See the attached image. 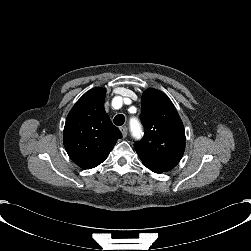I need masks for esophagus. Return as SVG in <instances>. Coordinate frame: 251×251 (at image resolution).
Listing matches in <instances>:
<instances>
[{"label": "esophagus", "instance_id": "esophagus-1", "mask_svg": "<svg viewBox=\"0 0 251 251\" xmlns=\"http://www.w3.org/2000/svg\"><path fill=\"white\" fill-rule=\"evenodd\" d=\"M120 131L122 133L123 138H126L127 137V133H128L127 127L126 126L120 127Z\"/></svg>", "mask_w": 251, "mask_h": 251}]
</instances>
